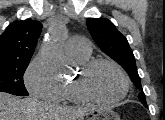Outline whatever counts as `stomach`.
Wrapping results in <instances>:
<instances>
[{"label":"stomach","mask_w":165,"mask_h":120,"mask_svg":"<svg viewBox=\"0 0 165 120\" xmlns=\"http://www.w3.org/2000/svg\"><path fill=\"white\" fill-rule=\"evenodd\" d=\"M80 120H120V116L111 110H91Z\"/></svg>","instance_id":"stomach-1"}]
</instances>
